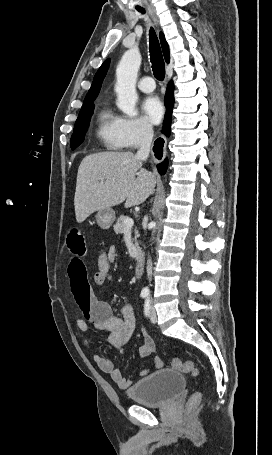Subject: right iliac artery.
Masks as SVG:
<instances>
[{"label": "right iliac artery", "instance_id": "1", "mask_svg": "<svg viewBox=\"0 0 272 455\" xmlns=\"http://www.w3.org/2000/svg\"><path fill=\"white\" fill-rule=\"evenodd\" d=\"M147 295H148V293H147V292H142V293H141V297H142V298H145V297H147Z\"/></svg>", "mask_w": 272, "mask_h": 455}]
</instances>
